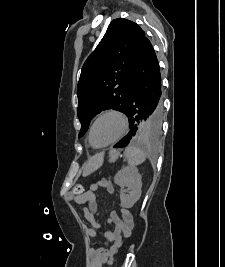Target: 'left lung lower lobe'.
Listing matches in <instances>:
<instances>
[{"label": "left lung lower lobe", "mask_w": 225, "mask_h": 267, "mask_svg": "<svg viewBox=\"0 0 225 267\" xmlns=\"http://www.w3.org/2000/svg\"><path fill=\"white\" fill-rule=\"evenodd\" d=\"M161 75L159 63L148 40H145L134 72L126 115L130 122V131L114 147H125L136 134L137 124L141 120L151 119L153 124L161 126L163 106L161 99Z\"/></svg>", "instance_id": "left-lung-lower-lobe-1"}]
</instances>
